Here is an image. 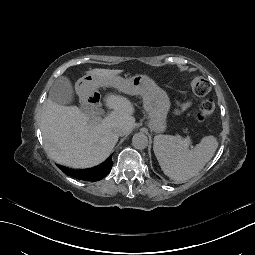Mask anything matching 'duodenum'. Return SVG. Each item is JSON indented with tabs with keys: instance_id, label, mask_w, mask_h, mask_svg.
Instances as JSON below:
<instances>
[{
	"instance_id": "obj_1",
	"label": "duodenum",
	"mask_w": 255,
	"mask_h": 255,
	"mask_svg": "<svg viewBox=\"0 0 255 255\" xmlns=\"http://www.w3.org/2000/svg\"><path fill=\"white\" fill-rule=\"evenodd\" d=\"M78 93L86 108L91 111L100 112L101 109V95L88 82H83L78 87Z\"/></svg>"
}]
</instances>
